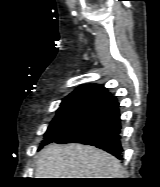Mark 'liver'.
Segmentation results:
<instances>
[{
    "instance_id": "liver-1",
    "label": "liver",
    "mask_w": 160,
    "mask_h": 187,
    "mask_svg": "<svg viewBox=\"0 0 160 187\" xmlns=\"http://www.w3.org/2000/svg\"><path fill=\"white\" fill-rule=\"evenodd\" d=\"M35 178H120L118 159L92 146L50 144L39 154Z\"/></svg>"
}]
</instances>
